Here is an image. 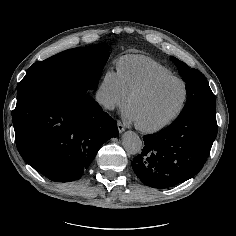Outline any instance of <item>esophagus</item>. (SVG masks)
Masks as SVG:
<instances>
[{
    "mask_svg": "<svg viewBox=\"0 0 236 236\" xmlns=\"http://www.w3.org/2000/svg\"><path fill=\"white\" fill-rule=\"evenodd\" d=\"M117 127L120 133L125 130V127L120 120L117 121Z\"/></svg>",
    "mask_w": 236,
    "mask_h": 236,
    "instance_id": "34e87169",
    "label": "esophagus"
}]
</instances>
